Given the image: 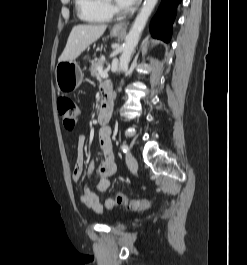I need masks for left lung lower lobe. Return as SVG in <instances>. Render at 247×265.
Returning a JSON list of instances; mask_svg holds the SVG:
<instances>
[{"label":"left lung lower lobe","instance_id":"left-lung-lower-lobe-1","mask_svg":"<svg viewBox=\"0 0 247 265\" xmlns=\"http://www.w3.org/2000/svg\"><path fill=\"white\" fill-rule=\"evenodd\" d=\"M181 0H162L161 5L151 22L153 37L169 42L172 35V25Z\"/></svg>","mask_w":247,"mask_h":265}]
</instances>
